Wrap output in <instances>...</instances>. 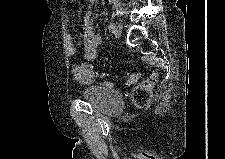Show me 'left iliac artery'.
I'll use <instances>...</instances> for the list:
<instances>
[{
	"label": "left iliac artery",
	"mask_w": 225,
	"mask_h": 159,
	"mask_svg": "<svg viewBox=\"0 0 225 159\" xmlns=\"http://www.w3.org/2000/svg\"><path fill=\"white\" fill-rule=\"evenodd\" d=\"M114 27H115V24H114V23H110V24L108 25V29H109L111 32L113 31Z\"/></svg>",
	"instance_id": "obj_1"
}]
</instances>
